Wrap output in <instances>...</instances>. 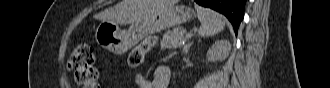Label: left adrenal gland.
I'll return each mask as SVG.
<instances>
[{
    "mask_svg": "<svg viewBox=\"0 0 330 88\" xmlns=\"http://www.w3.org/2000/svg\"><path fill=\"white\" fill-rule=\"evenodd\" d=\"M193 43H189L184 49H183V52L184 53H188V50H189V48L191 47V45H192Z\"/></svg>",
    "mask_w": 330,
    "mask_h": 88,
    "instance_id": "1",
    "label": "left adrenal gland"
}]
</instances>
